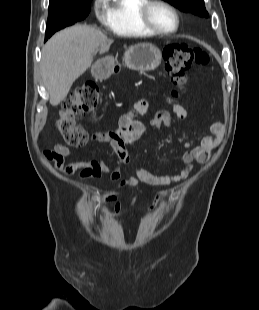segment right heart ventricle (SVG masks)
Segmentation results:
<instances>
[{"label": "right heart ventricle", "instance_id": "right-heart-ventricle-1", "mask_svg": "<svg viewBox=\"0 0 259 310\" xmlns=\"http://www.w3.org/2000/svg\"><path fill=\"white\" fill-rule=\"evenodd\" d=\"M147 0H110L105 26L111 32L125 37L154 36L140 22L139 10Z\"/></svg>", "mask_w": 259, "mask_h": 310}]
</instances>
